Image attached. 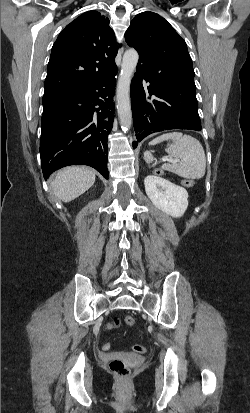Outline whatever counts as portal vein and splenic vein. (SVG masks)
Listing matches in <instances>:
<instances>
[{"mask_svg":"<svg viewBox=\"0 0 250 413\" xmlns=\"http://www.w3.org/2000/svg\"><path fill=\"white\" fill-rule=\"evenodd\" d=\"M161 160H162V161H169V162H172V163L179 162V160H173V159H171V158H166V157H163Z\"/></svg>","mask_w":250,"mask_h":413,"instance_id":"obj_1","label":"portal vein and splenic vein"}]
</instances>
